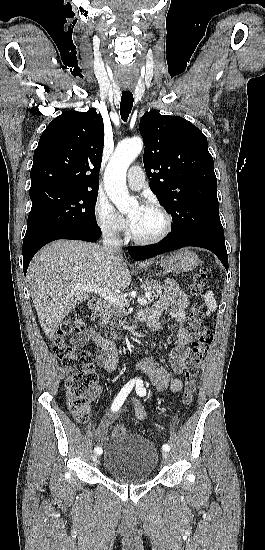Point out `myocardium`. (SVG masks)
<instances>
[{"mask_svg": "<svg viewBox=\"0 0 265 550\" xmlns=\"http://www.w3.org/2000/svg\"><path fill=\"white\" fill-rule=\"evenodd\" d=\"M144 207L155 210L163 216L164 222H165L164 228L159 234H157L154 237L141 238L136 236L130 227L129 229L130 238L134 243L138 245H152V244L159 243L162 240H164L172 231V227H173L172 216L164 207H162L160 204L156 202H149L145 204Z\"/></svg>", "mask_w": 265, "mask_h": 550, "instance_id": "f54148a6", "label": "myocardium"}]
</instances>
